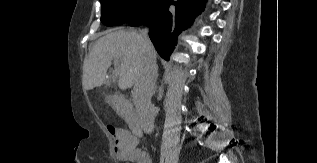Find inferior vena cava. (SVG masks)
Masks as SVG:
<instances>
[{
  "mask_svg": "<svg viewBox=\"0 0 317 163\" xmlns=\"http://www.w3.org/2000/svg\"><path fill=\"white\" fill-rule=\"evenodd\" d=\"M143 60L134 84L132 96L139 124L145 133L154 130L155 111L151 98L155 92L157 65L154 48L148 36V29L141 31Z\"/></svg>",
  "mask_w": 317,
  "mask_h": 163,
  "instance_id": "inferior-vena-cava-1",
  "label": "inferior vena cava"
}]
</instances>
